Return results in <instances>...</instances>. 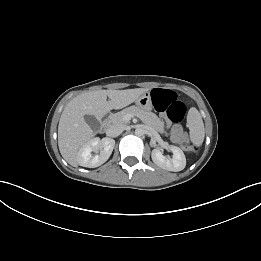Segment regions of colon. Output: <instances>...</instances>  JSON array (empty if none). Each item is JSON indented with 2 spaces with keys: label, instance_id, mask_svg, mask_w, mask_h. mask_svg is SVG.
<instances>
[{
  "label": "colon",
  "instance_id": "1",
  "mask_svg": "<svg viewBox=\"0 0 261 261\" xmlns=\"http://www.w3.org/2000/svg\"><path fill=\"white\" fill-rule=\"evenodd\" d=\"M152 102L156 110L166 112L169 119L174 123L183 121L186 115V105L177 99L176 94L167 89H154L151 93ZM182 148L187 152L196 150V145H192L185 140L182 141Z\"/></svg>",
  "mask_w": 261,
  "mask_h": 261
}]
</instances>
